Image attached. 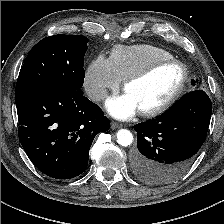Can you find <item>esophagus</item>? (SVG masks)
I'll return each mask as SVG.
<instances>
[{
  "label": "esophagus",
  "mask_w": 224,
  "mask_h": 224,
  "mask_svg": "<svg viewBox=\"0 0 224 224\" xmlns=\"http://www.w3.org/2000/svg\"><path fill=\"white\" fill-rule=\"evenodd\" d=\"M122 125L117 123V122H112L111 123V129H118V128H121Z\"/></svg>",
  "instance_id": "esophagus-1"
}]
</instances>
